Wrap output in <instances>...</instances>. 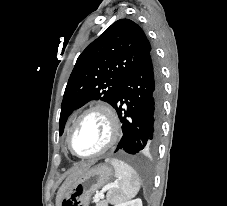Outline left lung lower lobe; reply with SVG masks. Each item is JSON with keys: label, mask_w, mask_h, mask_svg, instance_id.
Wrapping results in <instances>:
<instances>
[{"label": "left lung lower lobe", "mask_w": 227, "mask_h": 206, "mask_svg": "<svg viewBox=\"0 0 227 206\" xmlns=\"http://www.w3.org/2000/svg\"><path fill=\"white\" fill-rule=\"evenodd\" d=\"M162 97L160 70L150 54L126 77L113 106L123 131L115 152L139 155L155 150L160 134Z\"/></svg>", "instance_id": "1"}]
</instances>
